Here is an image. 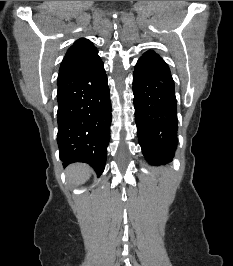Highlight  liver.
<instances>
[{"mask_svg": "<svg viewBox=\"0 0 233 266\" xmlns=\"http://www.w3.org/2000/svg\"><path fill=\"white\" fill-rule=\"evenodd\" d=\"M67 179L75 186L82 185L91 176V169L86 164L75 163L66 169Z\"/></svg>", "mask_w": 233, "mask_h": 266, "instance_id": "6515ba94", "label": "liver"}]
</instances>
